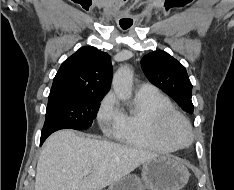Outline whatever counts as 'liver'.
<instances>
[{"label": "liver", "mask_w": 234, "mask_h": 190, "mask_svg": "<svg viewBox=\"0 0 234 190\" xmlns=\"http://www.w3.org/2000/svg\"><path fill=\"white\" fill-rule=\"evenodd\" d=\"M157 156L140 148L79 137L72 130L58 131L42 147L34 190H102ZM85 169L91 171L87 177Z\"/></svg>", "instance_id": "1"}]
</instances>
